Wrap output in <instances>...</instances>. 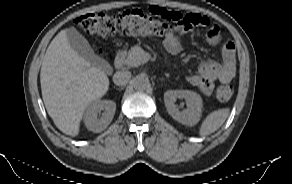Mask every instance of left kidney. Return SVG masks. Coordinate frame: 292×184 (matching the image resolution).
<instances>
[{"label":"left kidney","instance_id":"1","mask_svg":"<svg viewBox=\"0 0 292 184\" xmlns=\"http://www.w3.org/2000/svg\"><path fill=\"white\" fill-rule=\"evenodd\" d=\"M177 98H184L187 109L179 111L175 102ZM164 102L167 112L176 121L194 126L200 120L202 113V98L196 92L190 90H168L164 93Z\"/></svg>","mask_w":292,"mask_h":184}]
</instances>
